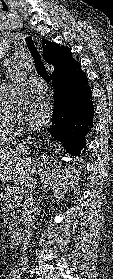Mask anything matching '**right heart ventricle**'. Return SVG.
Wrapping results in <instances>:
<instances>
[{
  "mask_svg": "<svg viewBox=\"0 0 113 279\" xmlns=\"http://www.w3.org/2000/svg\"><path fill=\"white\" fill-rule=\"evenodd\" d=\"M4 91H0V147L9 145L14 140V122L3 110Z\"/></svg>",
  "mask_w": 113,
  "mask_h": 279,
  "instance_id": "right-heart-ventricle-1",
  "label": "right heart ventricle"
}]
</instances>
